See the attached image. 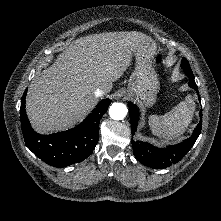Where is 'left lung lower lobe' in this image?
<instances>
[{
  "label": "left lung lower lobe",
  "instance_id": "0a47b994",
  "mask_svg": "<svg viewBox=\"0 0 221 221\" xmlns=\"http://www.w3.org/2000/svg\"><path fill=\"white\" fill-rule=\"evenodd\" d=\"M186 76L189 78V86L194 88L199 95L197 85L194 80V75L192 70H184ZM200 100V97H199ZM130 110V123L132 128V136L135 134L138 125V116L139 112L137 108L132 103H128ZM200 123L194 129V132L191 137L184 140L183 142L170 145L165 149H160L154 147L153 145L142 142V141H134L132 139L133 153L139 162L142 164L155 168V169H163L169 167L173 164H176L180 161L187 152L192 148L194 143L196 142L202 126V113L200 112Z\"/></svg>",
  "mask_w": 221,
  "mask_h": 221
}]
</instances>
